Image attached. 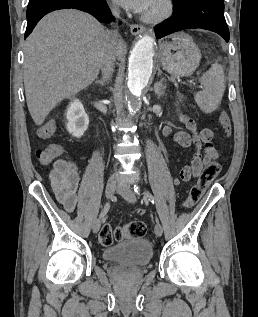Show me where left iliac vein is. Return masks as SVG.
Instances as JSON below:
<instances>
[{
	"instance_id": "left-iliac-vein-1",
	"label": "left iliac vein",
	"mask_w": 258,
	"mask_h": 317,
	"mask_svg": "<svg viewBox=\"0 0 258 317\" xmlns=\"http://www.w3.org/2000/svg\"><path fill=\"white\" fill-rule=\"evenodd\" d=\"M117 194L118 195H123L125 197V200L127 199L128 201L127 202H136L137 201V196H136V193L133 192L131 189H130V185L129 184H120L117 186ZM154 230H155V235L156 236H161L162 235V230H163V227H162V224L161 223H156L155 224V227H154Z\"/></svg>"
}]
</instances>
